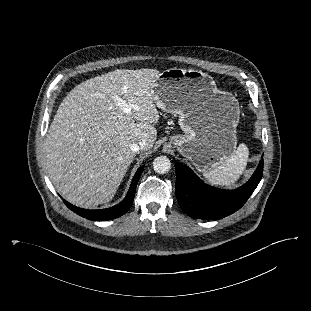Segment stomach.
<instances>
[{"label":"stomach","mask_w":311,"mask_h":311,"mask_svg":"<svg viewBox=\"0 0 311 311\" xmlns=\"http://www.w3.org/2000/svg\"><path fill=\"white\" fill-rule=\"evenodd\" d=\"M154 101L179 116L182 135L170 143L200 172L221 165L236 150L240 108L230 93L218 90L208 74L171 68L153 82Z\"/></svg>","instance_id":"0dacf381"}]
</instances>
